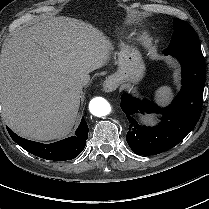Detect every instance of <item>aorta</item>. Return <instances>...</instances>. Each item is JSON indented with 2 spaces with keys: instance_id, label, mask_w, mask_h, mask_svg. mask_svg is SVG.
Segmentation results:
<instances>
[{
  "instance_id": "aorta-1",
  "label": "aorta",
  "mask_w": 209,
  "mask_h": 209,
  "mask_svg": "<svg viewBox=\"0 0 209 209\" xmlns=\"http://www.w3.org/2000/svg\"><path fill=\"white\" fill-rule=\"evenodd\" d=\"M89 111L96 117H104L111 112V106L106 99L95 97L89 103Z\"/></svg>"
}]
</instances>
